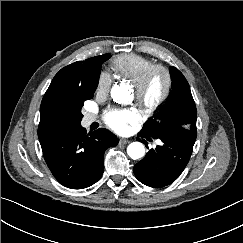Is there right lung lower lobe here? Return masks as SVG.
I'll return each instance as SVG.
<instances>
[{
  "instance_id": "1",
  "label": "right lung lower lobe",
  "mask_w": 243,
  "mask_h": 243,
  "mask_svg": "<svg viewBox=\"0 0 243 243\" xmlns=\"http://www.w3.org/2000/svg\"><path fill=\"white\" fill-rule=\"evenodd\" d=\"M45 161L54 177L72 189L96 183L104 170V152L118 139L106 129L88 133L82 126H51L38 129Z\"/></svg>"
}]
</instances>
